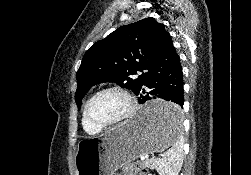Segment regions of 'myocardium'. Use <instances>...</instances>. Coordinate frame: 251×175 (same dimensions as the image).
<instances>
[{
    "mask_svg": "<svg viewBox=\"0 0 251 175\" xmlns=\"http://www.w3.org/2000/svg\"><path fill=\"white\" fill-rule=\"evenodd\" d=\"M111 90H116L121 92L127 101V111L125 113V115L118 121L111 123V124H105L102 123L94 118H92L91 113H90V109H91V105L93 103V101L96 99L97 96H99L100 94L106 92V91H111ZM136 113V103L132 97V95L130 94V92L125 89L122 86L119 85H110V86H106L100 90H98L97 92H95L87 101L85 108H84V116L85 119L90 122L93 126L99 128V129H110V128H115L118 127L126 122H128L130 119L133 118V116Z\"/></svg>",
    "mask_w": 251,
    "mask_h": 175,
    "instance_id": "obj_1",
    "label": "myocardium"
}]
</instances>
